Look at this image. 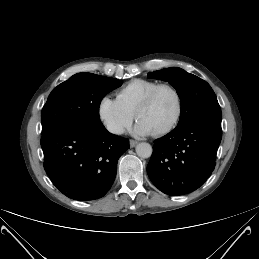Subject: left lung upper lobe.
Returning <instances> with one entry per match:
<instances>
[{"instance_id": "obj_1", "label": "left lung upper lobe", "mask_w": 259, "mask_h": 259, "mask_svg": "<svg viewBox=\"0 0 259 259\" xmlns=\"http://www.w3.org/2000/svg\"><path fill=\"white\" fill-rule=\"evenodd\" d=\"M148 76L168 81L176 89L181 101L176 128L195 121L221 123L222 113L216 95L204 80L176 67L150 72Z\"/></svg>"}]
</instances>
